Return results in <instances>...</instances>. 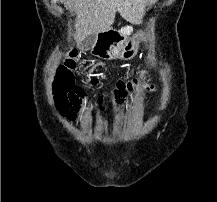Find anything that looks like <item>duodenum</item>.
I'll list each match as a JSON object with an SVG mask.
<instances>
[{
	"label": "duodenum",
	"mask_w": 217,
	"mask_h": 202,
	"mask_svg": "<svg viewBox=\"0 0 217 202\" xmlns=\"http://www.w3.org/2000/svg\"><path fill=\"white\" fill-rule=\"evenodd\" d=\"M121 41L120 34L112 29L101 31L96 38L92 53L98 57L111 58Z\"/></svg>",
	"instance_id": "duodenum-1"
}]
</instances>
